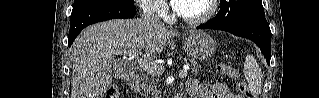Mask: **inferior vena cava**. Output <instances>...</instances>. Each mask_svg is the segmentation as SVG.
<instances>
[{
	"instance_id": "obj_1",
	"label": "inferior vena cava",
	"mask_w": 319,
	"mask_h": 98,
	"mask_svg": "<svg viewBox=\"0 0 319 98\" xmlns=\"http://www.w3.org/2000/svg\"><path fill=\"white\" fill-rule=\"evenodd\" d=\"M141 20L151 25L164 26L157 16V10L150 4L143 5V14L141 16Z\"/></svg>"
}]
</instances>
